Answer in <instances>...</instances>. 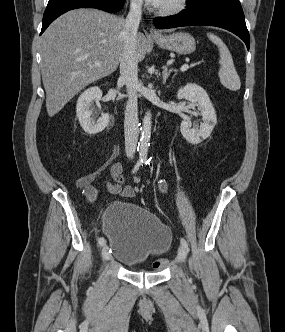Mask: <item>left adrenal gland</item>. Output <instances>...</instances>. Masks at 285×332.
Returning <instances> with one entry per match:
<instances>
[{
  "label": "left adrenal gland",
  "instance_id": "a2214340",
  "mask_svg": "<svg viewBox=\"0 0 285 332\" xmlns=\"http://www.w3.org/2000/svg\"><path fill=\"white\" fill-rule=\"evenodd\" d=\"M163 72H162V75H163V83L165 84L166 83V80L168 79L169 75L171 72H176L175 69H170L168 70L167 66H163Z\"/></svg>",
  "mask_w": 285,
  "mask_h": 332
}]
</instances>
